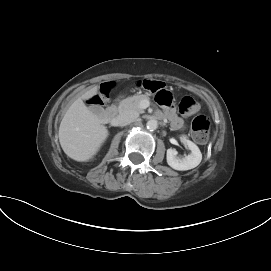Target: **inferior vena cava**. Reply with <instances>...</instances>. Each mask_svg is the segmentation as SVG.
<instances>
[{"label":"inferior vena cava","instance_id":"obj_1","mask_svg":"<svg viewBox=\"0 0 271 271\" xmlns=\"http://www.w3.org/2000/svg\"><path fill=\"white\" fill-rule=\"evenodd\" d=\"M137 118H138V113H136L134 111H131V110H127V111L121 112L116 117V120H117L119 125H125V124H128L130 122H133Z\"/></svg>","mask_w":271,"mask_h":271}]
</instances>
